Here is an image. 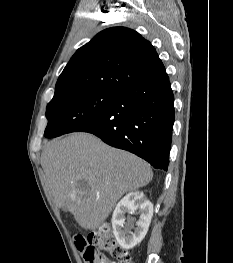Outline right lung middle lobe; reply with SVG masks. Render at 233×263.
Instances as JSON below:
<instances>
[{
	"instance_id": "right-lung-middle-lobe-1",
	"label": "right lung middle lobe",
	"mask_w": 233,
	"mask_h": 263,
	"mask_svg": "<svg viewBox=\"0 0 233 263\" xmlns=\"http://www.w3.org/2000/svg\"><path fill=\"white\" fill-rule=\"evenodd\" d=\"M117 92L98 89L80 90L54 96L48 103V125L44 136L52 138L74 132L100 115Z\"/></svg>"
}]
</instances>
